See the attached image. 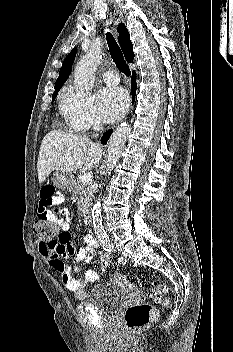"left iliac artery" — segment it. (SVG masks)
I'll list each match as a JSON object with an SVG mask.
<instances>
[{"mask_svg": "<svg viewBox=\"0 0 233 352\" xmlns=\"http://www.w3.org/2000/svg\"><path fill=\"white\" fill-rule=\"evenodd\" d=\"M106 251H108V252H115V249H114L113 246H110V247H108V248L106 249ZM117 261H118L119 264H124V263H125V260H124V258H123L122 256L119 257Z\"/></svg>", "mask_w": 233, "mask_h": 352, "instance_id": "44dca946", "label": "left iliac artery"}]
</instances>
